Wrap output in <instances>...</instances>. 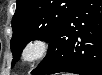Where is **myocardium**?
Listing matches in <instances>:
<instances>
[{
	"label": "myocardium",
	"mask_w": 102,
	"mask_h": 75,
	"mask_svg": "<svg viewBox=\"0 0 102 75\" xmlns=\"http://www.w3.org/2000/svg\"><path fill=\"white\" fill-rule=\"evenodd\" d=\"M48 50L47 43L42 39H32L24 47L23 56L26 60H39Z\"/></svg>",
	"instance_id": "myocardium-1"
}]
</instances>
